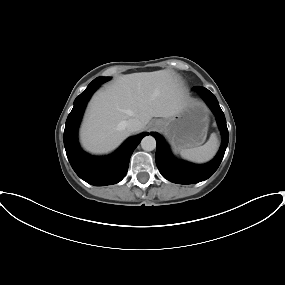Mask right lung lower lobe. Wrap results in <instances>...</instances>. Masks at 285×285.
I'll use <instances>...</instances> for the list:
<instances>
[{
  "label": "right lung lower lobe",
  "mask_w": 285,
  "mask_h": 285,
  "mask_svg": "<svg viewBox=\"0 0 285 285\" xmlns=\"http://www.w3.org/2000/svg\"><path fill=\"white\" fill-rule=\"evenodd\" d=\"M99 85H92L82 92L74 101L64 130V146L68 160L76 174L94 186L112 185L120 182L126 175L130 157L143 137L148 132L130 137L113 154L106 157L91 156L80 148L77 141V130L84 109L93 92Z\"/></svg>",
  "instance_id": "right-lung-lower-lobe-1"
}]
</instances>
